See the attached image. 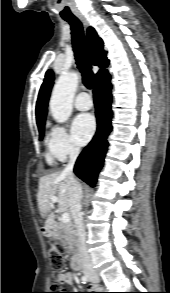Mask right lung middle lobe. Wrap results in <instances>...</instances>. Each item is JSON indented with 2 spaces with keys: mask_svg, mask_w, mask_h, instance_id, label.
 Listing matches in <instances>:
<instances>
[{
  "mask_svg": "<svg viewBox=\"0 0 170 293\" xmlns=\"http://www.w3.org/2000/svg\"><path fill=\"white\" fill-rule=\"evenodd\" d=\"M39 133H40V140H41L43 138V134H44V127L39 128Z\"/></svg>",
  "mask_w": 170,
  "mask_h": 293,
  "instance_id": "1",
  "label": "right lung middle lobe"
}]
</instances>
